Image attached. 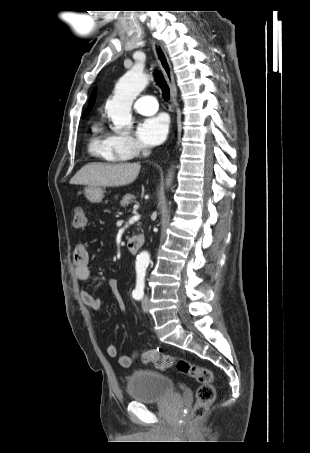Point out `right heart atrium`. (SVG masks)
Listing matches in <instances>:
<instances>
[{
	"instance_id": "right-heart-atrium-1",
	"label": "right heart atrium",
	"mask_w": 310,
	"mask_h": 453,
	"mask_svg": "<svg viewBox=\"0 0 310 453\" xmlns=\"http://www.w3.org/2000/svg\"><path fill=\"white\" fill-rule=\"evenodd\" d=\"M109 140L112 148L125 158L134 157L143 149V145L127 132L110 134Z\"/></svg>"
}]
</instances>
